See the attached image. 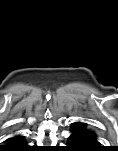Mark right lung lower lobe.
Listing matches in <instances>:
<instances>
[{
    "instance_id": "obj_1",
    "label": "right lung lower lobe",
    "mask_w": 118,
    "mask_h": 151,
    "mask_svg": "<svg viewBox=\"0 0 118 151\" xmlns=\"http://www.w3.org/2000/svg\"><path fill=\"white\" fill-rule=\"evenodd\" d=\"M14 146L16 148L8 149V147H5V149L8 150V151H25V150H29V146L26 145L24 140H22L21 142L17 143Z\"/></svg>"
}]
</instances>
